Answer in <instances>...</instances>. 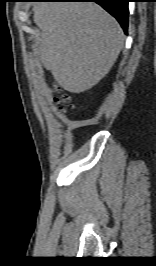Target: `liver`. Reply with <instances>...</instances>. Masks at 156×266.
<instances>
[{
	"label": "liver",
	"instance_id": "1",
	"mask_svg": "<svg viewBox=\"0 0 156 266\" xmlns=\"http://www.w3.org/2000/svg\"><path fill=\"white\" fill-rule=\"evenodd\" d=\"M33 10L41 31L35 54L62 88L82 93L108 74L124 45L109 13L90 2H43Z\"/></svg>",
	"mask_w": 156,
	"mask_h": 266
}]
</instances>
